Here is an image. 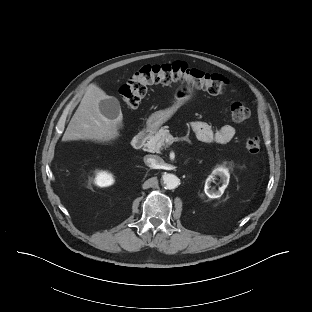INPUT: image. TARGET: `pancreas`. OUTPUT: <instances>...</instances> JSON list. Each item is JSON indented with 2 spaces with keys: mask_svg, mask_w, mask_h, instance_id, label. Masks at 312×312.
<instances>
[{
  "mask_svg": "<svg viewBox=\"0 0 312 312\" xmlns=\"http://www.w3.org/2000/svg\"><path fill=\"white\" fill-rule=\"evenodd\" d=\"M170 131L168 130V126H164L155 132V135L149 137V140L145 144L148 148L149 152L152 153H160L163 147L171 144L167 142L166 139L169 137Z\"/></svg>",
  "mask_w": 312,
  "mask_h": 312,
  "instance_id": "pancreas-1",
  "label": "pancreas"
}]
</instances>
